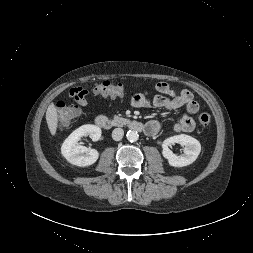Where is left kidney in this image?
Wrapping results in <instances>:
<instances>
[{"label": "left kidney", "mask_w": 253, "mask_h": 253, "mask_svg": "<svg viewBox=\"0 0 253 253\" xmlns=\"http://www.w3.org/2000/svg\"><path fill=\"white\" fill-rule=\"evenodd\" d=\"M174 143L184 146V154L177 156L170 149ZM162 154L168 160V163L173 167H183L193 163L201 151L200 142L186 134L175 135L164 140L162 144Z\"/></svg>", "instance_id": "left-kidney-1"}]
</instances>
